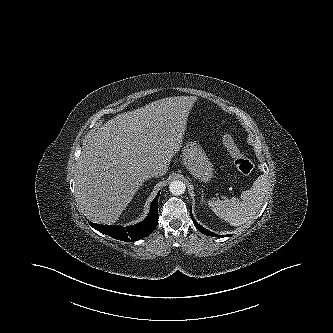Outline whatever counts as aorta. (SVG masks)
<instances>
[{
	"label": "aorta",
	"mask_w": 333,
	"mask_h": 333,
	"mask_svg": "<svg viewBox=\"0 0 333 333\" xmlns=\"http://www.w3.org/2000/svg\"><path fill=\"white\" fill-rule=\"evenodd\" d=\"M186 186L183 181L174 180L169 185V191L173 195H181L185 192Z\"/></svg>",
	"instance_id": "1"
}]
</instances>
